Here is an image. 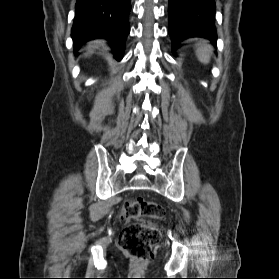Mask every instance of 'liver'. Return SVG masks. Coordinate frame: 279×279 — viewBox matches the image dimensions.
Returning <instances> with one entry per match:
<instances>
[{
    "label": "liver",
    "mask_w": 279,
    "mask_h": 279,
    "mask_svg": "<svg viewBox=\"0 0 279 279\" xmlns=\"http://www.w3.org/2000/svg\"><path fill=\"white\" fill-rule=\"evenodd\" d=\"M98 44H100L99 41H95V42H93V43H89V44H88V47H87L88 51H89V52H92V48L96 47Z\"/></svg>",
    "instance_id": "liver-1"
}]
</instances>
